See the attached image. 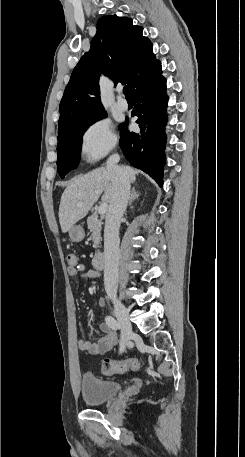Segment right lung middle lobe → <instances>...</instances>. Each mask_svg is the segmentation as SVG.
Segmentation results:
<instances>
[{"label": "right lung middle lobe", "instance_id": "obj_1", "mask_svg": "<svg viewBox=\"0 0 245 457\" xmlns=\"http://www.w3.org/2000/svg\"><path fill=\"white\" fill-rule=\"evenodd\" d=\"M106 115L105 110H101L58 128L57 170L61 178H64L79 163L83 133L90 125L106 117Z\"/></svg>", "mask_w": 245, "mask_h": 457}]
</instances>
